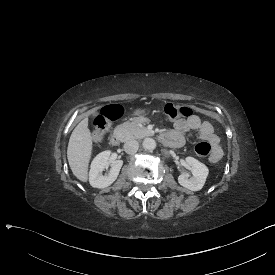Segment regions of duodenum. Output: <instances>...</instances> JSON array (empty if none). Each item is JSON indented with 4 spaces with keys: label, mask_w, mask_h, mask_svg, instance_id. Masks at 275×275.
<instances>
[{
    "label": "duodenum",
    "mask_w": 275,
    "mask_h": 275,
    "mask_svg": "<svg viewBox=\"0 0 275 275\" xmlns=\"http://www.w3.org/2000/svg\"><path fill=\"white\" fill-rule=\"evenodd\" d=\"M159 139L164 144L170 145V146H176L178 144L177 140L168 135V134H162L159 136ZM122 141V133L119 130L114 131L110 136V143L113 146H118Z\"/></svg>",
    "instance_id": "410a0bca"
}]
</instances>
